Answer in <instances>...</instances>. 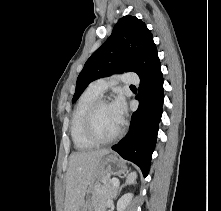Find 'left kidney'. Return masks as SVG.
<instances>
[{
  "instance_id": "5707ae66",
  "label": "left kidney",
  "mask_w": 221,
  "mask_h": 211,
  "mask_svg": "<svg viewBox=\"0 0 221 211\" xmlns=\"http://www.w3.org/2000/svg\"><path fill=\"white\" fill-rule=\"evenodd\" d=\"M132 197V193H127L121 196L117 202V211H125L126 207L130 204Z\"/></svg>"
}]
</instances>
